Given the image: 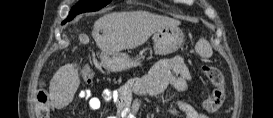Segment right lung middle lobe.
<instances>
[{
	"mask_svg": "<svg viewBox=\"0 0 273 118\" xmlns=\"http://www.w3.org/2000/svg\"><path fill=\"white\" fill-rule=\"evenodd\" d=\"M111 1L112 0H80L69 12V16L64 21V23L72 20L78 14L98 11L101 8L105 7L107 4H109Z\"/></svg>",
	"mask_w": 273,
	"mask_h": 118,
	"instance_id": "right-lung-middle-lobe-1",
	"label": "right lung middle lobe"
}]
</instances>
